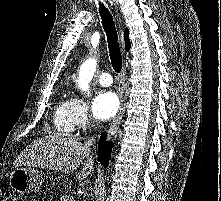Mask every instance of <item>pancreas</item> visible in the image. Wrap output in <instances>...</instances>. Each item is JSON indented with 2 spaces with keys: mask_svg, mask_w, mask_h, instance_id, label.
<instances>
[{
  "mask_svg": "<svg viewBox=\"0 0 221 201\" xmlns=\"http://www.w3.org/2000/svg\"><path fill=\"white\" fill-rule=\"evenodd\" d=\"M68 197L69 196H63L62 201H69Z\"/></svg>",
  "mask_w": 221,
  "mask_h": 201,
  "instance_id": "cf45deb5",
  "label": "pancreas"
}]
</instances>
